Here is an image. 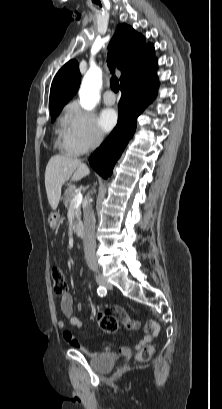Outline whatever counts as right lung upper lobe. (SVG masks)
I'll use <instances>...</instances> for the list:
<instances>
[{
  "label": "right lung upper lobe",
  "mask_w": 222,
  "mask_h": 409,
  "mask_svg": "<svg viewBox=\"0 0 222 409\" xmlns=\"http://www.w3.org/2000/svg\"><path fill=\"white\" fill-rule=\"evenodd\" d=\"M108 48L116 58V64L122 72L121 85L130 80L154 72L157 60L153 59L154 46L146 44L145 38L127 24H119ZM78 62L70 60L56 74L50 91V111L62 109L75 95L80 85ZM120 85V86H121Z\"/></svg>",
  "instance_id": "obj_1"
}]
</instances>
